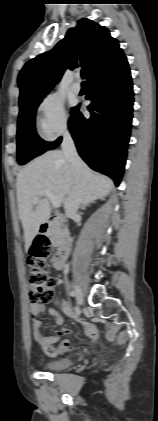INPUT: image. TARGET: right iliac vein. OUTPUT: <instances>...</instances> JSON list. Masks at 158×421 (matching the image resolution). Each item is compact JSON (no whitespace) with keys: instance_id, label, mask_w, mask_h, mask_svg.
<instances>
[{"instance_id":"1","label":"right iliac vein","mask_w":158,"mask_h":421,"mask_svg":"<svg viewBox=\"0 0 158 421\" xmlns=\"http://www.w3.org/2000/svg\"><path fill=\"white\" fill-rule=\"evenodd\" d=\"M74 290L76 292V298H77L78 303L80 305H82L83 301H84V297H83V293H82L80 287L78 285H75Z\"/></svg>"}]
</instances>
